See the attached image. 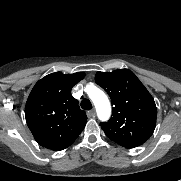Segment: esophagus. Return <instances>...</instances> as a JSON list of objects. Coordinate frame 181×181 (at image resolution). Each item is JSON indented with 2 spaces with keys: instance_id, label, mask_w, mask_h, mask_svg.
Segmentation results:
<instances>
[{
  "instance_id": "1",
  "label": "esophagus",
  "mask_w": 181,
  "mask_h": 181,
  "mask_svg": "<svg viewBox=\"0 0 181 181\" xmlns=\"http://www.w3.org/2000/svg\"><path fill=\"white\" fill-rule=\"evenodd\" d=\"M89 115H90L91 117H95V116H96V111H95V109L90 110V111H89Z\"/></svg>"
}]
</instances>
